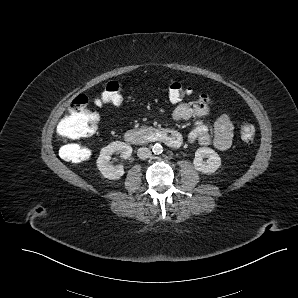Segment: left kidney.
Segmentation results:
<instances>
[{
  "mask_svg": "<svg viewBox=\"0 0 298 298\" xmlns=\"http://www.w3.org/2000/svg\"><path fill=\"white\" fill-rule=\"evenodd\" d=\"M220 164L219 155L211 148L203 147L196 150L194 165L198 171L213 173Z\"/></svg>",
  "mask_w": 298,
  "mask_h": 298,
  "instance_id": "5707ae66",
  "label": "left kidney"
}]
</instances>
